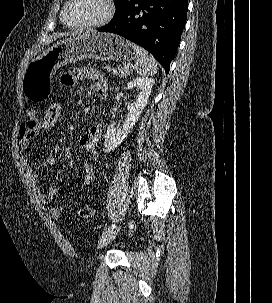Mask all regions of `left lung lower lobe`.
Returning a JSON list of instances; mask_svg holds the SVG:
<instances>
[{
	"instance_id": "1",
	"label": "left lung lower lobe",
	"mask_w": 272,
	"mask_h": 303,
	"mask_svg": "<svg viewBox=\"0 0 272 303\" xmlns=\"http://www.w3.org/2000/svg\"><path fill=\"white\" fill-rule=\"evenodd\" d=\"M188 0H137L122 16L100 28L142 46L165 68L174 59L187 17Z\"/></svg>"
}]
</instances>
